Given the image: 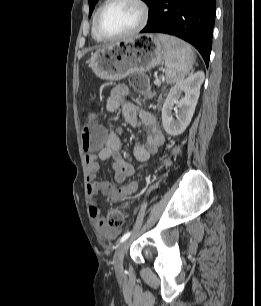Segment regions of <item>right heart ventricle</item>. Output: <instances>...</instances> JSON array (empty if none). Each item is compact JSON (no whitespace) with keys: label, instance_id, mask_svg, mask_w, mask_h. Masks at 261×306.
Listing matches in <instances>:
<instances>
[{"label":"right heart ventricle","instance_id":"1","mask_svg":"<svg viewBox=\"0 0 261 306\" xmlns=\"http://www.w3.org/2000/svg\"><path fill=\"white\" fill-rule=\"evenodd\" d=\"M95 17V16H94ZM92 37L96 40V41H101L99 38L96 37L94 30H93V25H92Z\"/></svg>","mask_w":261,"mask_h":306}]
</instances>
